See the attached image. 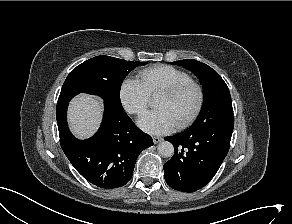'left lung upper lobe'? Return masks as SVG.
Segmentation results:
<instances>
[{
	"label": "left lung upper lobe",
	"mask_w": 292,
	"mask_h": 224,
	"mask_svg": "<svg viewBox=\"0 0 292 224\" xmlns=\"http://www.w3.org/2000/svg\"><path fill=\"white\" fill-rule=\"evenodd\" d=\"M172 64L183 66L192 71L203 87L202 109L198 118L188 130H201L215 123L234 120L229 89L215 70L194 59L179 60Z\"/></svg>",
	"instance_id": "left-lung-upper-lobe-1"
}]
</instances>
